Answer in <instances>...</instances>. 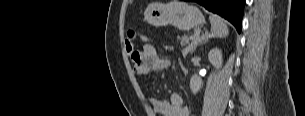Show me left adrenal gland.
I'll list each match as a JSON object with an SVG mask.
<instances>
[{"mask_svg":"<svg viewBox=\"0 0 305 116\" xmlns=\"http://www.w3.org/2000/svg\"><path fill=\"white\" fill-rule=\"evenodd\" d=\"M210 37H211V36L204 35V36L202 37L203 42H199V43L202 44V43L208 41V39H209ZM197 45H199V44H197ZM197 45H195V46L192 47L191 53L196 49Z\"/></svg>","mask_w":305,"mask_h":116,"instance_id":"left-adrenal-gland-1","label":"left adrenal gland"}]
</instances>
